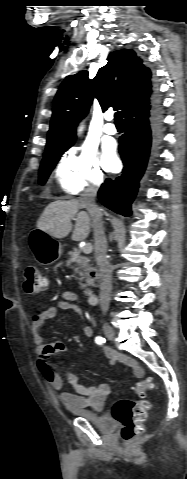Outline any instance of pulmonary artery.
<instances>
[{
	"label": "pulmonary artery",
	"instance_id": "1",
	"mask_svg": "<svg viewBox=\"0 0 187 479\" xmlns=\"http://www.w3.org/2000/svg\"><path fill=\"white\" fill-rule=\"evenodd\" d=\"M106 119H107V123L104 126L105 133L108 135H115L117 133V129L115 125L112 123L113 116L108 115Z\"/></svg>",
	"mask_w": 187,
	"mask_h": 479
}]
</instances>
